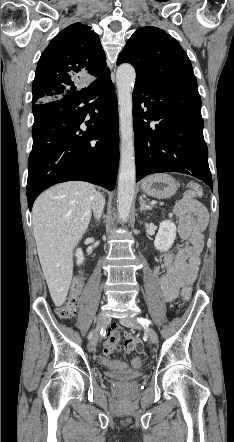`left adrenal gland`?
Wrapping results in <instances>:
<instances>
[{"label": "left adrenal gland", "instance_id": "1", "mask_svg": "<svg viewBox=\"0 0 234 442\" xmlns=\"http://www.w3.org/2000/svg\"><path fill=\"white\" fill-rule=\"evenodd\" d=\"M152 206L147 205L145 200L140 196V211L151 210Z\"/></svg>", "mask_w": 234, "mask_h": 442}]
</instances>
